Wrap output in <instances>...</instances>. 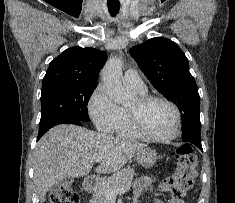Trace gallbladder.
I'll use <instances>...</instances> for the list:
<instances>
[{
	"mask_svg": "<svg viewBox=\"0 0 235 203\" xmlns=\"http://www.w3.org/2000/svg\"><path fill=\"white\" fill-rule=\"evenodd\" d=\"M65 181L64 180H57V183L51 188V190H54L58 188L60 185H64Z\"/></svg>",
	"mask_w": 235,
	"mask_h": 203,
	"instance_id": "gallbladder-1",
	"label": "gallbladder"
}]
</instances>
